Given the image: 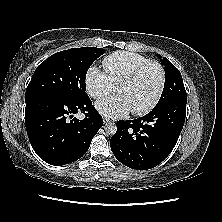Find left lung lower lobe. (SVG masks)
I'll return each instance as SVG.
<instances>
[{
	"mask_svg": "<svg viewBox=\"0 0 222 222\" xmlns=\"http://www.w3.org/2000/svg\"><path fill=\"white\" fill-rule=\"evenodd\" d=\"M186 103L172 100L155 106L147 115L117 122L110 140L114 156L122 164L147 170L160 164L173 150L182 131Z\"/></svg>",
	"mask_w": 222,
	"mask_h": 222,
	"instance_id": "0a47b994",
	"label": "left lung lower lobe"
}]
</instances>
